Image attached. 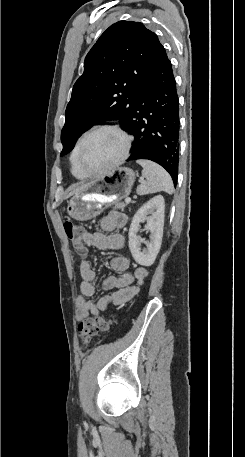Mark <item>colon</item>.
Listing matches in <instances>:
<instances>
[{
	"instance_id": "5ec220e1",
	"label": "colon",
	"mask_w": 245,
	"mask_h": 457,
	"mask_svg": "<svg viewBox=\"0 0 245 457\" xmlns=\"http://www.w3.org/2000/svg\"><path fill=\"white\" fill-rule=\"evenodd\" d=\"M64 231L71 242L74 250L80 254H86V245L83 241V230L78 228L70 219L63 222ZM112 324V320L106 317H89L82 320L78 325V337L82 344H88L99 332L106 331Z\"/></svg>"
}]
</instances>
